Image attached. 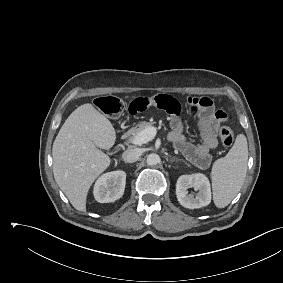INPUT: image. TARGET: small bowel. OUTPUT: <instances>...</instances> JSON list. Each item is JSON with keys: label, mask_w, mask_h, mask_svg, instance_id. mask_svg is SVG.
I'll list each match as a JSON object with an SVG mask.
<instances>
[{"label": "small bowel", "mask_w": 283, "mask_h": 283, "mask_svg": "<svg viewBox=\"0 0 283 283\" xmlns=\"http://www.w3.org/2000/svg\"><path fill=\"white\" fill-rule=\"evenodd\" d=\"M186 106L189 112L198 114L202 138L199 144L193 143L184 135V108L177 99L170 95L156 94L150 97L136 98L130 102L128 113L135 116L151 107L167 112L171 116L172 129L169 134V140L191 163L201 169H205L212 161L210 151L218 146V127L226 120L227 115L222 110L214 111L211 99L205 96L189 97Z\"/></svg>", "instance_id": "small-bowel-1"}]
</instances>
